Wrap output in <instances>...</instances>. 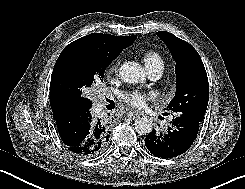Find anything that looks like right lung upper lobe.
I'll return each instance as SVG.
<instances>
[{
    "mask_svg": "<svg viewBox=\"0 0 245 189\" xmlns=\"http://www.w3.org/2000/svg\"><path fill=\"white\" fill-rule=\"evenodd\" d=\"M136 38L137 36L135 35L113 36L109 34L92 33L66 46L55 63L50 83V105L53 111V117L56 118L69 111L61 104L54 86L55 72L62 62L77 54H92L111 63L122 50L131 45Z\"/></svg>",
    "mask_w": 245,
    "mask_h": 189,
    "instance_id": "right-lung-upper-lobe-1",
    "label": "right lung upper lobe"
}]
</instances>
